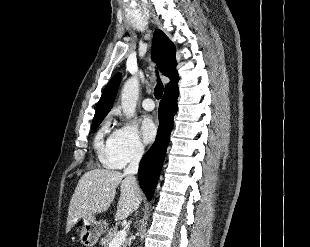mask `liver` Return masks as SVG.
I'll list each match as a JSON object with an SVG mask.
<instances>
[{"instance_id": "6515ba94", "label": "liver", "mask_w": 310, "mask_h": 247, "mask_svg": "<svg viewBox=\"0 0 310 247\" xmlns=\"http://www.w3.org/2000/svg\"><path fill=\"white\" fill-rule=\"evenodd\" d=\"M118 185L121 194L115 220H124L136 211L142 202V196L133 178L116 170H89L78 181L70 200L66 230L70 231L79 219L105 212L115 198Z\"/></svg>"}]
</instances>
